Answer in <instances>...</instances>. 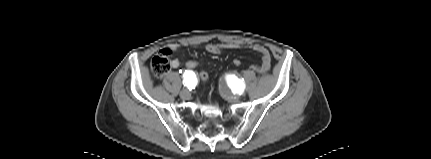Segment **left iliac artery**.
<instances>
[{
    "instance_id": "obj_1",
    "label": "left iliac artery",
    "mask_w": 431,
    "mask_h": 159,
    "mask_svg": "<svg viewBox=\"0 0 431 159\" xmlns=\"http://www.w3.org/2000/svg\"><path fill=\"white\" fill-rule=\"evenodd\" d=\"M228 84L232 88V91L237 94H242L245 89V83L243 80L237 79L235 76H230L228 79Z\"/></svg>"
}]
</instances>
